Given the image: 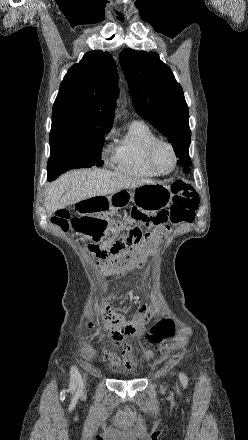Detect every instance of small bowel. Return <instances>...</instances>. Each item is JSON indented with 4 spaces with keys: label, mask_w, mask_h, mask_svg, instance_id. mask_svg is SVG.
<instances>
[{
    "label": "small bowel",
    "mask_w": 248,
    "mask_h": 440,
    "mask_svg": "<svg viewBox=\"0 0 248 440\" xmlns=\"http://www.w3.org/2000/svg\"><path fill=\"white\" fill-rule=\"evenodd\" d=\"M147 309L143 306L130 320L113 312L109 306L100 305L98 313L102 322L97 331L102 332L112 343L111 347L102 349V359L110 367L124 364L131 368L140 364L141 359L135 355V342H129L128 338L138 339L144 332ZM90 332H94L95 326L92 321L86 322ZM117 349H121L118 353Z\"/></svg>",
    "instance_id": "obj_1"
}]
</instances>
